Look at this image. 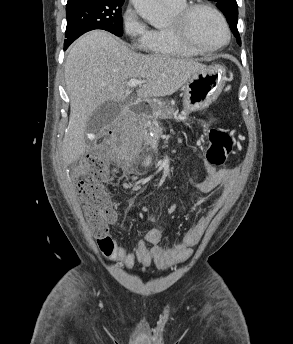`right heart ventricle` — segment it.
Returning <instances> with one entry per match:
<instances>
[{
	"label": "right heart ventricle",
	"instance_id": "1",
	"mask_svg": "<svg viewBox=\"0 0 293 344\" xmlns=\"http://www.w3.org/2000/svg\"><path fill=\"white\" fill-rule=\"evenodd\" d=\"M187 5V0H179L172 4H165V8L172 17ZM146 51L154 56L169 58H191L198 55V53L182 45L171 34L169 26L151 30Z\"/></svg>",
	"mask_w": 293,
	"mask_h": 344
}]
</instances>
